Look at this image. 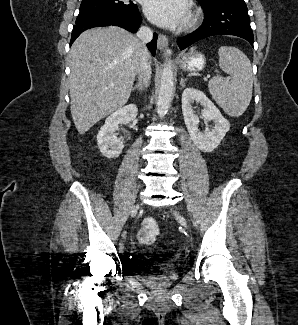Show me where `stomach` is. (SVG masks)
<instances>
[{"instance_id":"1","label":"stomach","mask_w":298,"mask_h":325,"mask_svg":"<svg viewBox=\"0 0 298 325\" xmlns=\"http://www.w3.org/2000/svg\"><path fill=\"white\" fill-rule=\"evenodd\" d=\"M180 68L186 72H199L205 68L206 56L203 52H185L178 60Z\"/></svg>"}]
</instances>
